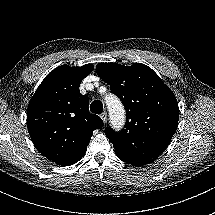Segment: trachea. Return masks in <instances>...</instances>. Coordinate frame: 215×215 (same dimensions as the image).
<instances>
[{"label": "trachea", "mask_w": 215, "mask_h": 215, "mask_svg": "<svg viewBox=\"0 0 215 215\" xmlns=\"http://www.w3.org/2000/svg\"><path fill=\"white\" fill-rule=\"evenodd\" d=\"M91 112L100 115L103 111V104L100 100H95L90 106Z\"/></svg>", "instance_id": "3493384b"}]
</instances>
